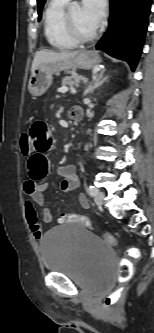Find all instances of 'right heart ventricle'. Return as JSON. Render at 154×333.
<instances>
[{"instance_id": "right-heart-ventricle-1", "label": "right heart ventricle", "mask_w": 154, "mask_h": 333, "mask_svg": "<svg viewBox=\"0 0 154 333\" xmlns=\"http://www.w3.org/2000/svg\"><path fill=\"white\" fill-rule=\"evenodd\" d=\"M69 0H49L43 14L44 35L49 45L58 50L77 46L64 26V12Z\"/></svg>"}]
</instances>
